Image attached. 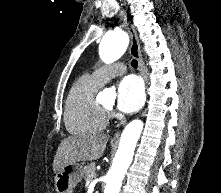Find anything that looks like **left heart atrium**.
I'll list each match as a JSON object with an SVG mask.
<instances>
[{"label": "left heart atrium", "mask_w": 221, "mask_h": 193, "mask_svg": "<svg viewBox=\"0 0 221 193\" xmlns=\"http://www.w3.org/2000/svg\"><path fill=\"white\" fill-rule=\"evenodd\" d=\"M145 100L142 81L134 75L123 78L117 90V107L124 113H133L141 108Z\"/></svg>", "instance_id": "obj_1"}]
</instances>
